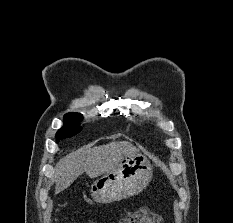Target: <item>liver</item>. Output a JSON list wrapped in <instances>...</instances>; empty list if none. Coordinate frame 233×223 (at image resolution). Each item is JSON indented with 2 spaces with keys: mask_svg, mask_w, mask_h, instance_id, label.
Masks as SVG:
<instances>
[{
  "mask_svg": "<svg viewBox=\"0 0 233 223\" xmlns=\"http://www.w3.org/2000/svg\"><path fill=\"white\" fill-rule=\"evenodd\" d=\"M136 147L130 141H110L106 145H84L76 151H71L57 161L54 167L56 177L55 193L69 187L79 175L87 173L89 177H99L114 167L116 161L124 155L134 153Z\"/></svg>",
  "mask_w": 233,
  "mask_h": 223,
  "instance_id": "obj_1",
  "label": "liver"
}]
</instances>
